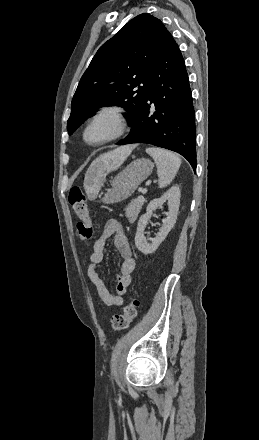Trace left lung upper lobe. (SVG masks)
<instances>
[{
	"mask_svg": "<svg viewBox=\"0 0 259 440\" xmlns=\"http://www.w3.org/2000/svg\"><path fill=\"white\" fill-rule=\"evenodd\" d=\"M169 35L159 19L144 13L105 42L73 96L68 133L72 134L102 106L124 107L128 111L125 118L132 125L143 108L152 73Z\"/></svg>",
	"mask_w": 259,
	"mask_h": 440,
	"instance_id": "obj_1",
	"label": "left lung upper lobe"
}]
</instances>
